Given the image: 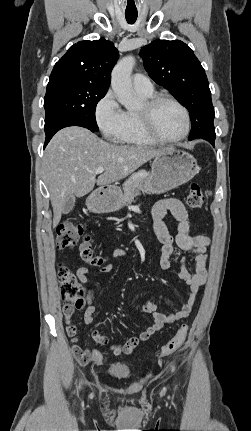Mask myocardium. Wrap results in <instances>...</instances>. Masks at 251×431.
I'll return each mask as SVG.
<instances>
[{
    "label": "myocardium",
    "mask_w": 251,
    "mask_h": 431,
    "mask_svg": "<svg viewBox=\"0 0 251 431\" xmlns=\"http://www.w3.org/2000/svg\"><path fill=\"white\" fill-rule=\"evenodd\" d=\"M164 102H170L176 105L183 113L184 116V129L180 136L172 139L163 138L157 132L154 125V112ZM141 126L146 135L156 143L160 144H176L183 141L190 131V114L186 106L178 99L165 94L154 95L149 98L145 104L144 109L138 112Z\"/></svg>",
    "instance_id": "f54148a6"
}]
</instances>
